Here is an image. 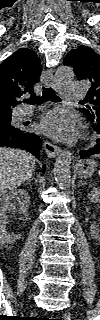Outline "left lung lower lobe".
<instances>
[{"mask_svg": "<svg viewBox=\"0 0 100 320\" xmlns=\"http://www.w3.org/2000/svg\"><path fill=\"white\" fill-rule=\"evenodd\" d=\"M93 121H91L92 128L100 134V119H96L94 124H93ZM79 154H80V158H85L94 154H100V137L99 139L96 140V143L92 148L88 150L80 151Z\"/></svg>", "mask_w": 100, "mask_h": 320, "instance_id": "obj_1", "label": "left lung lower lobe"}]
</instances>
